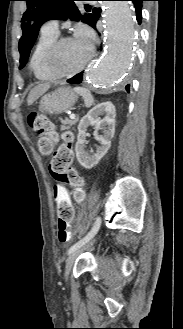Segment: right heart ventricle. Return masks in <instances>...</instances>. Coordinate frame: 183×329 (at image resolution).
I'll list each match as a JSON object with an SVG mask.
<instances>
[{
    "instance_id": "e07e8e85",
    "label": "right heart ventricle",
    "mask_w": 183,
    "mask_h": 329,
    "mask_svg": "<svg viewBox=\"0 0 183 329\" xmlns=\"http://www.w3.org/2000/svg\"><path fill=\"white\" fill-rule=\"evenodd\" d=\"M58 34L42 32L33 48L30 57V67L34 76L40 81H51L54 78L46 66V57Z\"/></svg>"
}]
</instances>
